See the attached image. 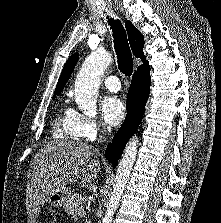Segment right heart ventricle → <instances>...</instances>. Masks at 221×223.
<instances>
[{
	"label": "right heart ventricle",
	"mask_w": 221,
	"mask_h": 223,
	"mask_svg": "<svg viewBox=\"0 0 221 223\" xmlns=\"http://www.w3.org/2000/svg\"><path fill=\"white\" fill-rule=\"evenodd\" d=\"M53 136L56 139L74 140L76 135L73 127V116L71 111L60 110L53 121Z\"/></svg>",
	"instance_id": "right-heart-ventricle-1"
}]
</instances>
